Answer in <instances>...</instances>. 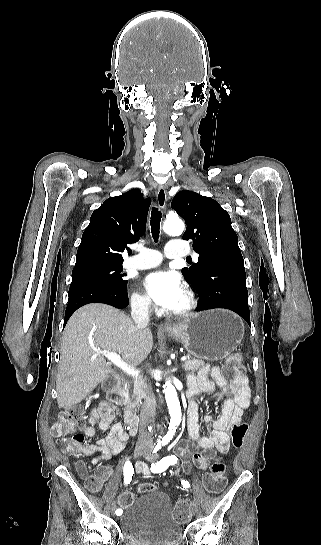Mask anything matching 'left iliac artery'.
Listing matches in <instances>:
<instances>
[{
    "mask_svg": "<svg viewBox=\"0 0 321 545\" xmlns=\"http://www.w3.org/2000/svg\"><path fill=\"white\" fill-rule=\"evenodd\" d=\"M159 448H155L154 449V452H157ZM177 463V457L174 456V455H171V456H167V457H164L162 458L160 461H158L157 463H154L152 464L151 466V470L155 473H159V472H163L165 471L170 465H174ZM181 484L183 485V487L185 488H189L190 487V484L188 481L186 480H182L181 481Z\"/></svg>",
    "mask_w": 321,
    "mask_h": 545,
    "instance_id": "left-iliac-artery-1",
    "label": "left iliac artery"
}]
</instances>
